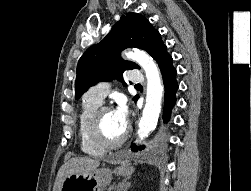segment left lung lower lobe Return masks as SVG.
<instances>
[{
    "mask_svg": "<svg viewBox=\"0 0 251 191\" xmlns=\"http://www.w3.org/2000/svg\"><path fill=\"white\" fill-rule=\"evenodd\" d=\"M156 61L161 70L163 84L165 87V102H164L163 119H164V122H166L169 119L171 109L174 107L175 102H176V92L178 90V83L176 81L177 72H176V69L173 67L172 57L167 52V50L163 52ZM139 149L142 150L144 149V147L140 146ZM132 150L137 151L138 147L133 145Z\"/></svg>",
    "mask_w": 251,
    "mask_h": 191,
    "instance_id": "0a47b994",
    "label": "left lung lower lobe"
}]
</instances>
